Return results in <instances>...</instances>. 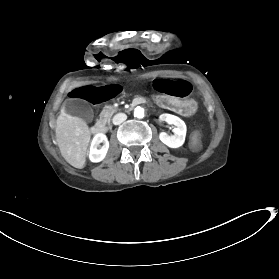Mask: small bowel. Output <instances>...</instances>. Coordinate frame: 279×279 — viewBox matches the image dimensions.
<instances>
[{
    "mask_svg": "<svg viewBox=\"0 0 279 279\" xmlns=\"http://www.w3.org/2000/svg\"><path fill=\"white\" fill-rule=\"evenodd\" d=\"M150 85L161 94L178 98H185L192 92L191 83L182 78L157 77L150 81Z\"/></svg>",
    "mask_w": 279,
    "mask_h": 279,
    "instance_id": "c3829d8e",
    "label": "small bowel"
}]
</instances>
